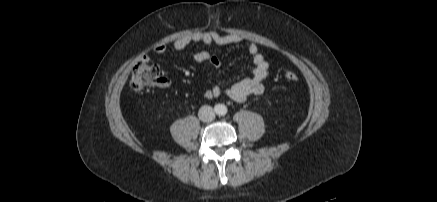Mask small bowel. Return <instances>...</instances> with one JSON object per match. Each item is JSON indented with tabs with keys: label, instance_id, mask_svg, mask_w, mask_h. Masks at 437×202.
Here are the masks:
<instances>
[{
	"label": "small bowel",
	"instance_id": "1",
	"mask_svg": "<svg viewBox=\"0 0 437 202\" xmlns=\"http://www.w3.org/2000/svg\"><path fill=\"white\" fill-rule=\"evenodd\" d=\"M244 40L241 35L238 34H220L216 31H201L194 32L189 35H185L177 38L173 42V48L176 51H181L191 43H201L203 45L216 44L219 46H226L230 44H237ZM153 51L156 54L162 55L167 51V47L164 44H157ZM248 53L252 56L254 68L249 77H246L227 88H222L218 84L212 85L205 92L206 98L219 97L222 94L236 101H244L251 95H260L264 92L263 81L268 77L270 71L269 62L265 56L259 51L257 44L251 43L248 45ZM192 60L197 63L208 62L213 68L219 69L221 67L220 58L206 50H201L192 55ZM147 61L148 57H144ZM169 81L165 79L162 86H168Z\"/></svg>",
	"mask_w": 437,
	"mask_h": 202
}]
</instances>
